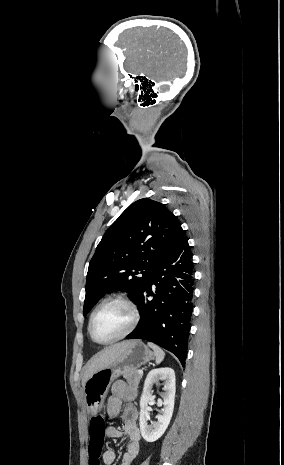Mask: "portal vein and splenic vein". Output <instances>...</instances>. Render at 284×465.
<instances>
[{"label": "portal vein and splenic vein", "mask_w": 284, "mask_h": 465, "mask_svg": "<svg viewBox=\"0 0 284 465\" xmlns=\"http://www.w3.org/2000/svg\"><path fill=\"white\" fill-rule=\"evenodd\" d=\"M138 375H143V371H138Z\"/></svg>", "instance_id": "18ae733b"}]
</instances>
